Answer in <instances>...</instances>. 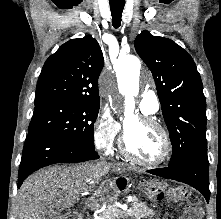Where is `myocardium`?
Listing matches in <instances>:
<instances>
[{"mask_svg":"<svg viewBox=\"0 0 221 219\" xmlns=\"http://www.w3.org/2000/svg\"><path fill=\"white\" fill-rule=\"evenodd\" d=\"M138 120L147 125V126H151L156 128L163 139V144H164V148H163V152L161 154V156L156 159V160H151V161H147V160H143L137 156H135L127 147L126 145V141H125V134L122 136L121 141H120V153L127 159L141 165L144 167H148V168H153V167H160L163 164H165L172 153V142H171V138L169 135V132L167 131V129L157 120L151 118V117H147V116H140L138 117Z\"/></svg>","mask_w":221,"mask_h":219,"instance_id":"f54148a6","label":"myocardium"}]
</instances>
